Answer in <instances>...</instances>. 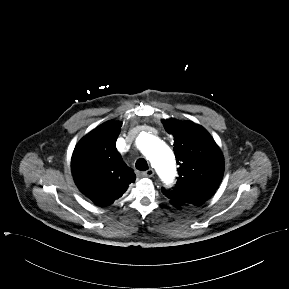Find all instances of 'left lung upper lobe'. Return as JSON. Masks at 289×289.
Returning <instances> with one entry per match:
<instances>
[{
  "label": "left lung upper lobe",
  "mask_w": 289,
  "mask_h": 289,
  "mask_svg": "<svg viewBox=\"0 0 289 289\" xmlns=\"http://www.w3.org/2000/svg\"><path fill=\"white\" fill-rule=\"evenodd\" d=\"M163 125L174 137L179 177L173 190L162 188V192L170 200L200 206L216 191L223 178V155L202 126L176 119L163 120Z\"/></svg>",
  "instance_id": "obj_1"
}]
</instances>
